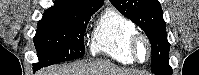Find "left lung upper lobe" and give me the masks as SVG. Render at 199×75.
I'll return each mask as SVG.
<instances>
[{
    "label": "left lung upper lobe",
    "instance_id": "1",
    "mask_svg": "<svg viewBox=\"0 0 199 75\" xmlns=\"http://www.w3.org/2000/svg\"><path fill=\"white\" fill-rule=\"evenodd\" d=\"M127 18L144 30L152 47L151 71L172 72L169 66V42L163 11L158 0H110Z\"/></svg>",
    "mask_w": 199,
    "mask_h": 75
}]
</instances>
